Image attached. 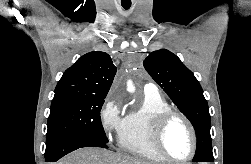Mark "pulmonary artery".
I'll use <instances>...</instances> for the list:
<instances>
[{
	"instance_id": "pulmonary-artery-1",
	"label": "pulmonary artery",
	"mask_w": 251,
	"mask_h": 164,
	"mask_svg": "<svg viewBox=\"0 0 251 164\" xmlns=\"http://www.w3.org/2000/svg\"><path fill=\"white\" fill-rule=\"evenodd\" d=\"M144 93L145 94H152V95L159 94L158 93V88L153 83H147V84H145V86H144Z\"/></svg>"
}]
</instances>
